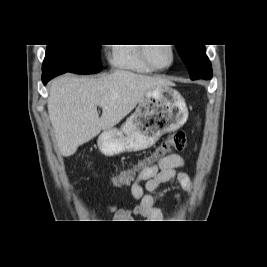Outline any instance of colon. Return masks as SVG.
I'll return each mask as SVG.
<instances>
[{
	"label": "colon",
	"instance_id": "colon-1",
	"mask_svg": "<svg viewBox=\"0 0 267 267\" xmlns=\"http://www.w3.org/2000/svg\"><path fill=\"white\" fill-rule=\"evenodd\" d=\"M186 146L185 131H175L165 138L149 157L140 161L136 165V169L149 167L172 152L185 150ZM136 176V173H130V169H123V171H118L116 175H111L110 178L111 182H114L113 188H120V185H128L129 182H133V178H136Z\"/></svg>",
	"mask_w": 267,
	"mask_h": 267
}]
</instances>
